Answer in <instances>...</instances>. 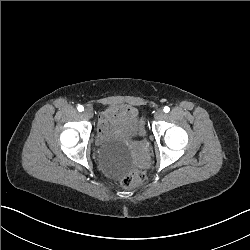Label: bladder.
Masks as SVG:
<instances>
[{"label": "bladder", "instance_id": "bladder-1", "mask_svg": "<svg viewBox=\"0 0 250 250\" xmlns=\"http://www.w3.org/2000/svg\"><path fill=\"white\" fill-rule=\"evenodd\" d=\"M134 114L141 115L126 108H117L103 113L98 121V129L93 133L96 150L98 151L99 147L108 140L114 142L129 140L137 129V119Z\"/></svg>", "mask_w": 250, "mask_h": 250}]
</instances>
